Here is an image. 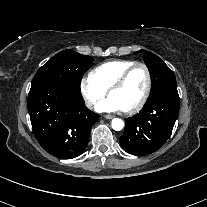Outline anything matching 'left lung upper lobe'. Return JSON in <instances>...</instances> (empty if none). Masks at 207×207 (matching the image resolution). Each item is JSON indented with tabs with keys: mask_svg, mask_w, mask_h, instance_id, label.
I'll use <instances>...</instances> for the list:
<instances>
[{
	"mask_svg": "<svg viewBox=\"0 0 207 207\" xmlns=\"http://www.w3.org/2000/svg\"><path fill=\"white\" fill-rule=\"evenodd\" d=\"M144 61L152 78V91L149 98L163 90L177 88L173 71L157 55L147 51L144 54Z\"/></svg>",
	"mask_w": 207,
	"mask_h": 207,
	"instance_id": "5c2ea615",
	"label": "left lung upper lobe"
}]
</instances>
